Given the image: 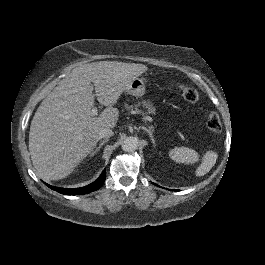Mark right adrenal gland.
Masks as SVG:
<instances>
[{
  "instance_id": "2a0ac1e0",
  "label": "right adrenal gland",
  "mask_w": 265,
  "mask_h": 265,
  "mask_svg": "<svg viewBox=\"0 0 265 265\" xmlns=\"http://www.w3.org/2000/svg\"><path fill=\"white\" fill-rule=\"evenodd\" d=\"M109 141V137L105 138L104 140L100 141V144L98 147L95 148V150H91L90 157L94 156L98 151H100L101 147Z\"/></svg>"
}]
</instances>
